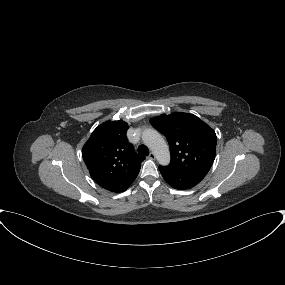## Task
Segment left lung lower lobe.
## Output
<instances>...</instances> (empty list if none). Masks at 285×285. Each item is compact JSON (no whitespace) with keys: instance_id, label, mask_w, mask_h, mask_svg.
Here are the masks:
<instances>
[{"instance_id":"left-lung-lower-lobe-1","label":"left lung lower lobe","mask_w":285,"mask_h":285,"mask_svg":"<svg viewBox=\"0 0 285 285\" xmlns=\"http://www.w3.org/2000/svg\"><path fill=\"white\" fill-rule=\"evenodd\" d=\"M164 180L175 189H190L197 185L205 176L204 173H180L164 166H159Z\"/></svg>"}]
</instances>
